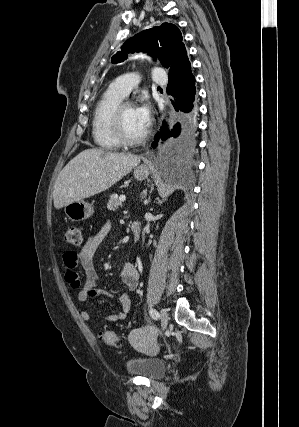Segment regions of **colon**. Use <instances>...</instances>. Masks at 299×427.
I'll use <instances>...</instances> for the list:
<instances>
[{
  "label": "colon",
  "instance_id": "obj_1",
  "mask_svg": "<svg viewBox=\"0 0 299 427\" xmlns=\"http://www.w3.org/2000/svg\"><path fill=\"white\" fill-rule=\"evenodd\" d=\"M63 237L68 244L74 246H80L82 244L81 229L78 225L68 226L64 230ZM98 338L112 347L120 348L122 346V339L111 330H100L98 332Z\"/></svg>",
  "mask_w": 299,
  "mask_h": 427
}]
</instances>
